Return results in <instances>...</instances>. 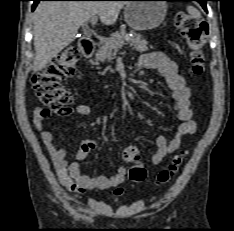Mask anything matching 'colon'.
Instances as JSON below:
<instances>
[{
  "mask_svg": "<svg viewBox=\"0 0 234 231\" xmlns=\"http://www.w3.org/2000/svg\"><path fill=\"white\" fill-rule=\"evenodd\" d=\"M175 24L186 42L193 73L202 74L205 62L204 46L208 34L207 23L189 14L179 13L175 17ZM78 56L75 47H67L41 71L32 76V85L36 95L52 109H66L74 101L73 94L62 87L61 81L77 73ZM122 157L132 164L129 170L130 180L143 181L147 176V171L139 162L138 149L134 145H128L123 149ZM182 159L183 153L174 156L171 164L159 172L158 181L162 184L168 183L178 173Z\"/></svg>",
  "mask_w": 234,
  "mask_h": 231,
  "instance_id": "5ec220e1",
  "label": "colon"
}]
</instances>
